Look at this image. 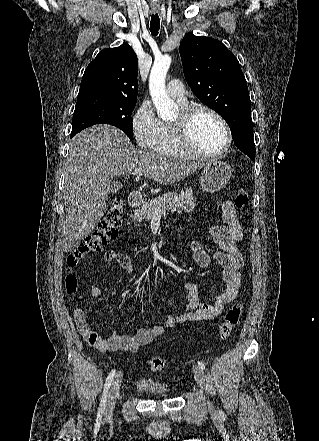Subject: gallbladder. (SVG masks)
I'll return each instance as SVG.
<instances>
[{"instance_id":"obj_1","label":"gallbladder","mask_w":319,"mask_h":441,"mask_svg":"<svg viewBox=\"0 0 319 441\" xmlns=\"http://www.w3.org/2000/svg\"><path fill=\"white\" fill-rule=\"evenodd\" d=\"M122 188V184L118 182H113L111 184V193H116Z\"/></svg>"}]
</instances>
